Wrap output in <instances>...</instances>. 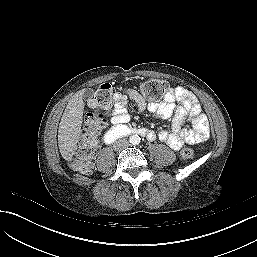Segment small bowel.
Returning a JSON list of instances; mask_svg holds the SVG:
<instances>
[{"mask_svg":"<svg viewBox=\"0 0 257 257\" xmlns=\"http://www.w3.org/2000/svg\"><path fill=\"white\" fill-rule=\"evenodd\" d=\"M128 98L136 104L139 110L147 109L162 118L173 117L171 131L161 130L158 137L174 150H179L185 144L201 142L209 135L207 117L202 113L197 99L181 86L169 89L162 102L150 105H147L142 95L134 89L116 93L114 110L110 119L112 125L119 126L128 123L130 119L127 109ZM185 118L190 120L192 129L183 128ZM155 136L153 131L148 132L150 140Z\"/></svg>","mask_w":257,"mask_h":257,"instance_id":"small-bowel-1","label":"small bowel"}]
</instances>
